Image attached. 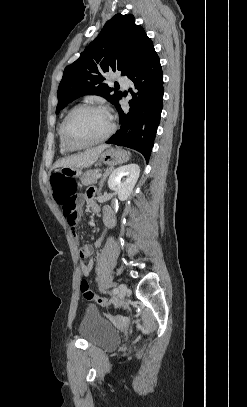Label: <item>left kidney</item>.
Segmentation results:
<instances>
[{
	"instance_id": "1",
	"label": "left kidney",
	"mask_w": 247,
	"mask_h": 407,
	"mask_svg": "<svg viewBox=\"0 0 247 407\" xmlns=\"http://www.w3.org/2000/svg\"><path fill=\"white\" fill-rule=\"evenodd\" d=\"M139 175L140 168L137 164L131 163L118 167L111 173L108 186L117 193L119 200L125 201L132 193ZM122 178L123 181H121Z\"/></svg>"
}]
</instances>
